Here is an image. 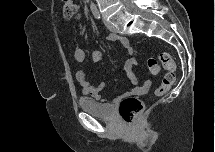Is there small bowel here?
<instances>
[{
  "label": "small bowel",
  "instance_id": "1",
  "mask_svg": "<svg viewBox=\"0 0 215 152\" xmlns=\"http://www.w3.org/2000/svg\"><path fill=\"white\" fill-rule=\"evenodd\" d=\"M107 39L110 42H116L119 40L121 45L127 50L129 58L126 61V66L128 68L137 66V61L132 57V50L129 47V42L126 38H119L116 34H108ZM74 58L77 62H83L85 60L84 50L76 46L74 48ZM92 58L96 63L101 62L103 60V53L101 51H95ZM76 80L80 84L83 94L90 95L97 100L103 101L102 91L104 89V83H100L97 86H92L87 79L86 73L82 70L76 72ZM130 82L134 86L131 92L134 95L145 94L151 85L149 80H144L139 83L134 74L130 75Z\"/></svg>",
  "mask_w": 215,
  "mask_h": 152
}]
</instances>
